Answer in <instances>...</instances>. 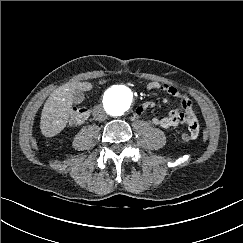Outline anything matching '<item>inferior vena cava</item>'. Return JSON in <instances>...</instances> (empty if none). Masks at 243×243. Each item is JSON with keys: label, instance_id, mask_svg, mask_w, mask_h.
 I'll use <instances>...</instances> for the list:
<instances>
[{"label": "inferior vena cava", "instance_id": "obj_1", "mask_svg": "<svg viewBox=\"0 0 243 243\" xmlns=\"http://www.w3.org/2000/svg\"><path fill=\"white\" fill-rule=\"evenodd\" d=\"M93 116L98 121H104L107 119V114L102 107H96L93 112Z\"/></svg>", "mask_w": 243, "mask_h": 243}]
</instances>
